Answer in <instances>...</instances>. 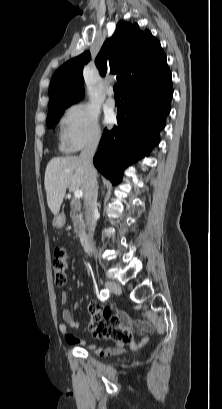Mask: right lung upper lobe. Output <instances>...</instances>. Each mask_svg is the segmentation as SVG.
<instances>
[{
	"mask_svg": "<svg viewBox=\"0 0 222 409\" xmlns=\"http://www.w3.org/2000/svg\"><path fill=\"white\" fill-rule=\"evenodd\" d=\"M91 59L89 52L63 64L54 73L49 87V110L65 107L84 97L83 67ZM95 64L104 75L117 74L121 94L144 77H153L169 69L160 42L137 23L120 21L113 36L106 40Z\"/></svg>",
	"mask_w": 222,
	"mask_h": 409,
	"instance_id": "right-lung-upper-lobe-1",
	"label": "right lung upper lobe"
}]
</instances>
